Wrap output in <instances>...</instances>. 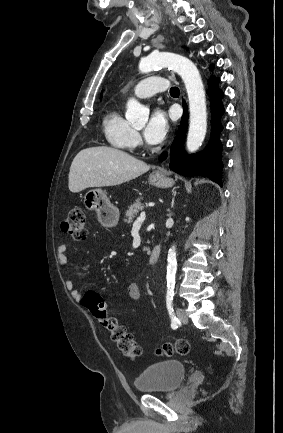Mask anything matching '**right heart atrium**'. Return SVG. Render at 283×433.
<instances>
[{"mask_svg":"<svg viewBox=\"0 0 283 433\" xmlns=\"http://www.w3.org/2000/svg\"><path fill=\"white\" fill-rule=\"evenodd\" d=\"M130 143H131L132 145H137V144L140 143V136H139V134H138L137 132H135V133L133 134Z\"/></svg>","mask_w":283,"mask_h":433,"instance_id":"1","label":"right heart atrium"}]
</instances>
